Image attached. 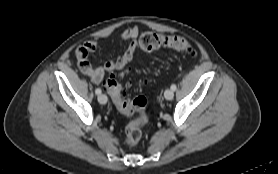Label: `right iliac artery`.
Masks as SVG:
<instances>
[{"label":"right iliac artery","instance_id":"82829eb1","mask_svg":"<svg viewBox=\"0 0 278 174\" xmlns=\"http://www.w3.org/2000/svg\"><path fill=\"white\" fill-rule=\"evenodd\" d=\"M95 93H96L97 95L101 94V89H100V88H97V89L95 90Z\"/></svg>","mask_w":278,"mask_h":174}]
</instances>
